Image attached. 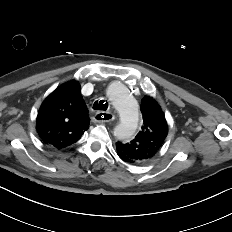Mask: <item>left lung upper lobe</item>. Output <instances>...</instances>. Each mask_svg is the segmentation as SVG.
Instances as JSON below:
<instances>
[{"instance_id": "1", "label": "left lung upper lobe", "mask_w": 232, "mask_h": 232, "mask_svg": "<svg viewBox=\"0 0 232 232\" xmlns=\"http://www.w3.org/2000/svg\"><path fill=\"white\" fill-rule=\"evenodd\" d=\"M141 112L143 125L137 136L128 143H116L117 152L133 164L150 161L161 148L168 133L165 115L152 97L142 99Z\"/></svg>"}]
</instances>
